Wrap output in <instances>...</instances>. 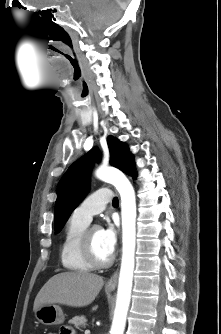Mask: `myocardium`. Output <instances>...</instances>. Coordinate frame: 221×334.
Returning <instances> with one entry per match:
<instances>
[{
  "mask_svg": "<svg viewBox=\"0 0 221 334\" xmlns=\"http://www.w3.org/2000/svg\"><path fill=\"white\" fill-rule=\"evenodd\" d=\"M95 228L99 227L97 225H92V226H87V228L84 230L80 242L81 251L87 262L93 268H107L110 265H112L115 259V254L114 252H112L107 259H100L97 256L94 250L93 240H92V231Z\"/></svg>",
  "mask_w": 221,
  "mask_h": 334,
  "instance_id": "1",
  "label": "myocardium"
}]
</instances>
